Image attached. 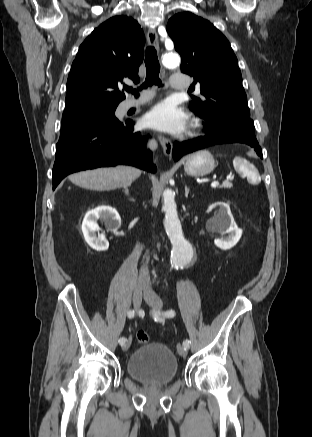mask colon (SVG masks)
<instances>
[{
    "label": "colon",
    "mask_w": 312,
    "mask_h": 437,
    "mask_svg": "<svg viewBox=\"0 0 312 437\" xmlns=\"http://www.w3.org/2000/svg\"><path fill=\"white\" fill-rule=\"evenodd\" d=\"M136 338H137L138 342L142 343V344L148 343L149 339H150L148 333H146L145 331H142V330H140L136 333Z\"/></svg>",
    "instance_id": "obj_1"
}]
</instances>
